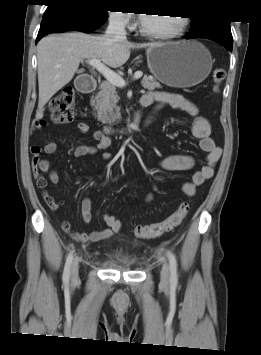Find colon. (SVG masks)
<instances>
[{
    "instance_id": "5ec220e1",
    "label": "colon",
    "mask_w": 261,
    "mask_h": 355,
    "mask_svg": "<svg viewBox=\"0 0 261 355\" xmlns=\"http://www.w3.org/2000/svg\"><path fill=\"white\" fill-rule=\"evenodd\" d=\"M226 72L222 68L213 72V92H218L221 83L225 79ZM50 120L55 124H65L73 121L75 117V98L71 87L61 89L50 101ZM44 125V121H38ZM189 204L183 202L180 206L161 222L134 227V234L140 238H157L178 227L189 212Z\"/></svg>"
}]
</instances>
